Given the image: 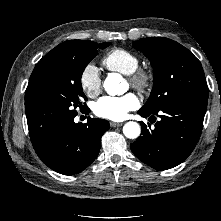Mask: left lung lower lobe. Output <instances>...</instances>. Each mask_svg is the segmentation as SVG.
Segmentation results:
<instances>
[{"mask_svg":"<svg viewBox=\"0 0 221 221\" xmlns=\"http://www.w3.org/2000/svg\"><path fill=\"white\" fill-rule=\"evenodd\" d=\"M207 101L184 98L157 112L138 111L142 117L161 118L155 128L149 129L141 122L142 135L130 145L132 152L142 162L157 170H166L182 163L196 146Z\"/></svg>","mask_w":221,"mask_h":221,"instance_id":"obj_1","label":"left lung lower lobe"}]
</instances>
